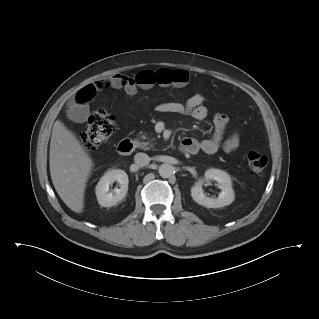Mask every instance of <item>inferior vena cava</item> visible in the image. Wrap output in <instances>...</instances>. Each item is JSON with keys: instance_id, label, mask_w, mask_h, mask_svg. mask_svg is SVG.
Segmentation results:
<instances>
[{"instance_id": "1", "label": "inferior vena cava", "mask_w": 319, "mask_h": 319, "mask_svg": "<svg viewBox=\"0 0 319 319\" xmlns=\"http://www.w3.org/2000/svg\"><path fill=\"white\" fill-rule=\"evenodd\" d=\"M134 162L140 166V167H144L147 166L150 162V157L146 154V153H137L134 156Z\"/></svg>"}]
</instances>
